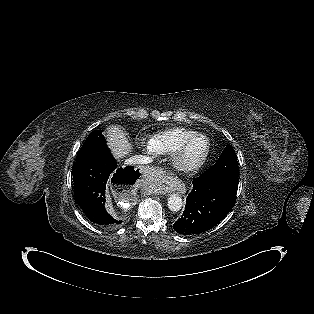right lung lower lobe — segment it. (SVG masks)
<instances>
[{
	"instance_id": "obj_1",
	"label": "right lung lower lobe",
	"mask_w": 314,
	"mask_h": 314,
	"mask_svg": "<svg viewBox=\"0 0 314 314\" xmlns=\"http://www.w3.org/2000/svg\"><path fill=\"white\" fill-rule=\"evenodd\" d=\"M138 170L128 166L117 168L107 146L73 166L74 196L87 218L102 228L112 229L122 223L120 218L112 217L105 209L106 184L117 182L131 187L139 178Z\"/></svg>"
}]
</instances>
